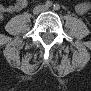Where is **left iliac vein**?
<instances>
[{
	"mask_svg": "<svg viewBox=\"0 0 91 91\" xmlns=\"http://www.w3.org/2000/svg\"><path fill=\"white\" fill-rule=\"evenodd\" d=\"M44 10H45V11L48 10V7H45Z\"/></svg>",
	"mask_w": 91,
	"mask_h": 91,
	"instance_id": "left-iliac-vein-1",
	"label": "left iliac vein"
}]
</instances>
